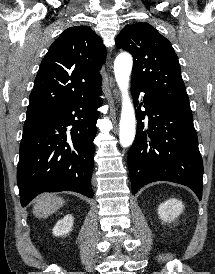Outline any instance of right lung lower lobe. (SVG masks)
<instances>
[{"label":"right lung lower lobe","mask_w":215,"mask_h":274,"mask_svg":"<svg viewBox=\"0 0 215 274\" xmlns=\"http://www.w3.org/2000/svg\"><path fill=\"white\" fill-rule=\"evenodd\" d=\"M101 93L99 82L23 130L17 169L22 206L42 192L75 191L93 197V140Z\"/></svg>","instance_id":"98d812e1"}]
</instances>
